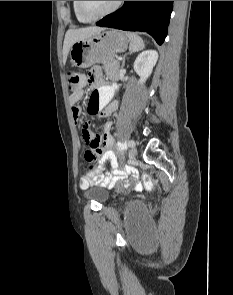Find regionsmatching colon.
Returning a JSON list of instances; mask_svg holds the SVG:
<instances>
[{"mask_svg": "<svg viewBox=\"0 0 233 295\" xmlns=\"http://www.w3.org/2000/svg\"><path fill=\"white\" fill-rule=\"evenodd\" d=\"M68 88L71 92V96H76L83 92L84 87L88 83L87 79L78 72L70 71L67 73ZM83 136L87 145V151L85 152V160L88 165L93 168L97 165V162L102 154V148L100 144V137L89 132L86 128L83 130ZM143 181L145 186L150 189L153 186V179L150 174H143Z\"/></svg>", "mask_w": 233, "mask_h": 295, "instance_id": "colon-1", "label": "colon"}]
</instances>
